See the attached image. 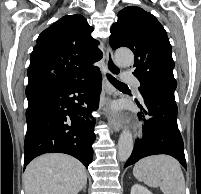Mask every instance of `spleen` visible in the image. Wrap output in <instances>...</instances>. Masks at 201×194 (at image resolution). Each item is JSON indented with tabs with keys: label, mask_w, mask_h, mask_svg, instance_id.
<instances>
[{
	"label": "spleen",
	"mask_w": 201,
	"mask_h": 194,
	"mask_svg": "<svg viewBox=\"0 0 201 194\" xmlns=\"http://www.w3.org/2000/svg\"><path fill=\"white\" fill-rule=\"evenodd\" d=\"M133 175L149 187H160L164 194H185V179L180 164L168 155L141 159L135 164Z\"/></svg>",
	"instance_id": "1"
}]
</instances>
